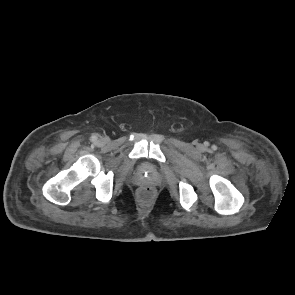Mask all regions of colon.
<instances>
[{
  "mask_svg": "<svg viewBox=\"0 0 295 295\" xmlns=\"http://www.w3.org/2000/svg\"><path fill=\"white\" fill-rule=\"evenodd\" d=\"M138 196L143 202H148L154 196V189L150 186H143L139 189Z\"/></svg>",
  "mask_w": 295,
  "mask_h": 295,
  "instance_id": "obj_1",
  "label": "colon"
}]
</instances>
